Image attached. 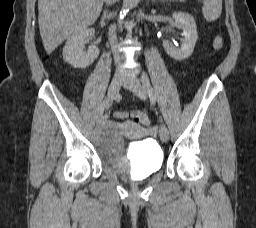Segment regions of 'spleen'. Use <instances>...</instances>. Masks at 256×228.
I'll return each mask as SVG.
<instances>
[{"label": "spleen", "instance_id": "obj_1", "mask_svg": "<svg viewBox=\"0 0 256 228\" xmlns=\"http://www.w3.org/2000/svg\"><path fill=\"white\" fill-rule=\"evenodd\" d=\"M222 12V0H204L202 13L207 21L217 20Z\"/></svg>", "mask_w": 256, "mask_h": 228}]
</instances>
